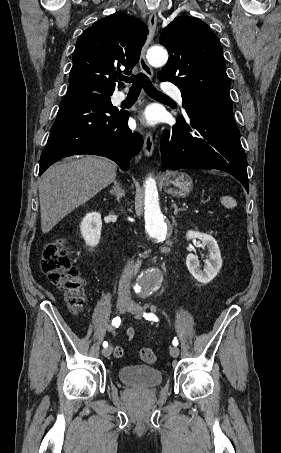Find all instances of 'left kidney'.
I'll return each instance as SVG.
<instances>
[{
    "label": "left kidney",
    "mask_w": 281,
    "mask_h": 453,
    "mask_svg": "<svg viewBox=\"0 0 281 453\" xmlns=\"http://www.w3.org/2000/svg\"><path fill=\"white\" fill-rule=\"evenodd\" d=\"M186 237L188 241H190V239H200L203 243V247H207L209 251V259H206L203 271L200 269V261L196 255L189 253L186 257V267H188L189 273H191L196 281L206 285V283H210V281L216 277L221 269L222 259L217 241H215L214 237H211V235L198 233V231H188Z\"/></svg>",
    "instance_id": "left-kidney-1"
}]
</instances>
